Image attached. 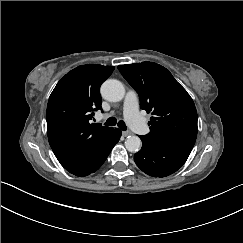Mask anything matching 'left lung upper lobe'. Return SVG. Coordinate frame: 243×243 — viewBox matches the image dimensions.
<instances>
[{
	"instance_id": "obj_1",
	"label": "left lung upper lobe",
	"mask_w": 243,
	"mask_h": 243,
	"mask_svg": "<svg viewBox=\"0 0 243 243\" xmlns=\"http://www.w3.org/2000/svg\"><path fill=\"white\" fill-rule=\"evenodd\" d=\"M137 91L140 106L153 116L144 135L170 146L192 150L197 137V111L187 91L163 66L142 62L118 66Z\"/></svg>"
}]
</instances>
